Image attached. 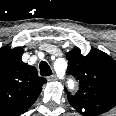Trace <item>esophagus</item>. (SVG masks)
I'll list each match as a JSON object with an SVG mask.
<instances>
[{
  "label": "esophagus",
  "mask_w": 116,
  "mask_h": 116,
  "mask_svg": "<svg viewBox=\"0 0 116 116\" xmlns=\"http://www.w3.org/2000/svg\"><path fill=\"white\" fill-rule=\"evenodd\" d=\"M47 80L50 81V82H53V81H56L57 80V77H56L55 74H53V75L47 77Z\"/></svg>",
  "instance_id": "1"
}]
</instances>
